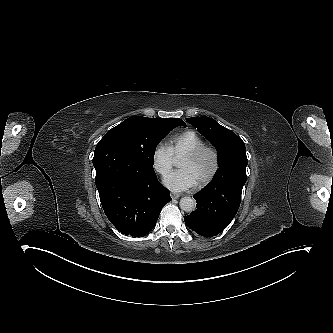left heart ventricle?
I'll list each match as a JSON object with an SVG mask.
<instances>
[{"instance_id":"1","label":"left heart ventricle","mask_w":333,"mask_h":333,"mask_svg":"<svg viewBox=\"0 0 333 333\" xmlns=\"http://www.w3.org/2000/svg\"><path fill=\"white\" fill-rule=\"evenodd\" d=\"M211 164V158L208 154H203L197 160L185 163L183 167L189 172L193 179L202 177L208 170Z\"/></svg>"}]
</instances>
